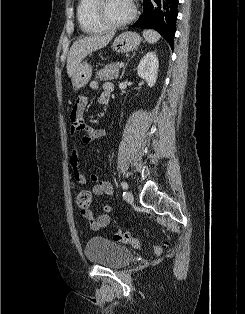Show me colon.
<instances>
[{"mask_svg":"<svg viewBox=\"0 0 245 314\" xmlns=\"http://www.w3.org/2000/svg\"><path fill=\"white\" fill-rule=\"evenodd\" d=\"M76 205L80 213H87L90 210L92 196L89 190L83 189L76 194ZM113 239L116 242H122L130 244L134 248H139L141 246L140 240L137 237L132 236L129 232L124 230H119L113 235ZM162 245L157 244L152 247L153 255H160L162 252Z\"/></svg>","mask_w":245,"mask_h":314,"instance_id":"1","label":"colon"}]
</instances>
